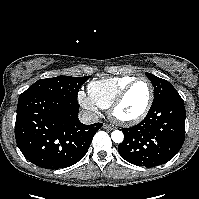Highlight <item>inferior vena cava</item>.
Instances as JSON below:
<instances>
[{
	"mask_svg": "<svg viewBox=\"0 0 199 199\" xmlns=\"http://www.w3.org/2000/svg\"><path fill=\"white\" fill-rule=\"evenodd\" d=\"M80 121L83 124L89 125L98 122V115L91 111H82L79 116Z\"/></svg>",
	"mask_w": 199,
	"mask_h": 199,
	"instance_id": "1",
	"label": "inferior vena cava"
}]
</instances>
